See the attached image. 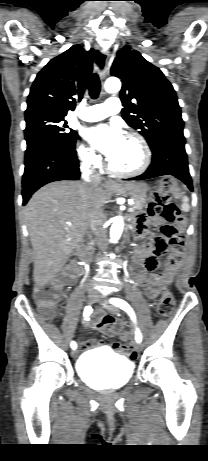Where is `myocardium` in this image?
<instances>
[{
  "label": "myocardium",
  "instance_id": "obj_1",
  "mask_svg": "<svg viewBox=\"0 0 208 461\" xmlns=\"http://www.w3.org/2000/svg\"><path fill=\"white\" fill-rule=\"evenodd\" d=\"M126 138L134 139L138 145L140 146L141 152H142V163L141 165L131 171H122V170H117L116 168L113 167L111 164L110 160H107V170L116 176L119 177H135L138 176L142 173H144L147 168L149 167L151 163V150L150 147L146 141V139L139 133L137 132H128L125 135Z\"/></svg>",
  "mask_w": 208,
  "mask_h": 461
}]
</instances>
